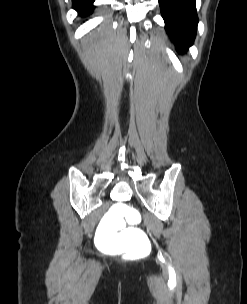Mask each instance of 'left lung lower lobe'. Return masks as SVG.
<instances>
[{"label": "left lung lower lobe", "instance_id": "left-lung-lower-lobe-1", "mask_svg": "<svg viewBox=\"0 0 247 304\" xmlns=\"http://www.w3.org/2000/svg\"><path fill=\"white\" fill-rule=\"evenodd\" d=\"M165 29L177 50L183 53L194 42L198 16L196 0H158Z\"/></svg>", "mask_w": 247, "mask_h": 304}]
</instances>
